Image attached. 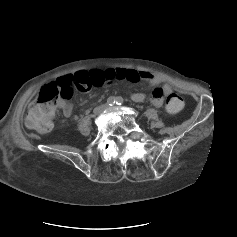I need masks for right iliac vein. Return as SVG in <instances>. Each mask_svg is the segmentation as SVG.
Returning <instances> with one entry per match:
<instances>
[{"label":"right iliac vein","mask_w":237,"mask_h":237,"mask_svg":"<svg viewBox=\"0 0 237 237\" xmlns=\"http://www.w3.org/2000/svg\"><path fill=\"white\" fill-rule=\"evenodd\" d=\"M104 109H105V106H100L96 109V113L101 114L104 111Z\"/></svg>","instance_id":"obj_1"}]
</instances>
